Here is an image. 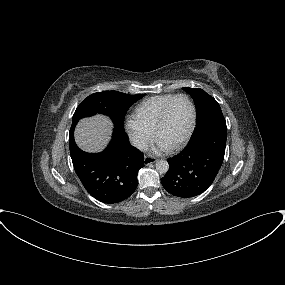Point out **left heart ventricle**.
Listing matches in <instances>:
<instances>
[{
	"label": "left heart ventricle",
	"mask_w": 285,
	"mask_h": 285,
	"mask_svg": "<svg viewBox=\"0 0 285 285\" xmlns=\"http://www.w3.org/2000/svg\"><path fill=\"white\" fill-rule=\"evenodd\" d=\"M191 121V109L184 98L176 99L168 112L157 138L169 147L178 143L186 134Z\"/></svg>",
	"instance_id": "b2bd125f"
}]
</instances>
